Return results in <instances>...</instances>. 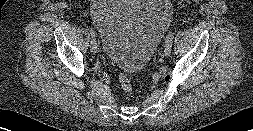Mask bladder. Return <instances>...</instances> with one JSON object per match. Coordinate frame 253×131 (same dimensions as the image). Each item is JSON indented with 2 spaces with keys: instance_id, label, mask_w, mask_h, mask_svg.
Listing matches in <instances>:
<instances>
[{
  "instance_id": "1",
  "label": "bladder",
  "mask_w": 253,
  "mask_h": 131,
  "mask_svg": "<svg viewBox=\"0 0 253 131\" xmlns=\"http://www.w3.org/2000/svg\"><path fill=\"white\" fill-rule=\"evenodd\" d=\"M103 55L127 73L144 68L172 18L170 0H92Z\"/></svg>"
}]
</instances>
